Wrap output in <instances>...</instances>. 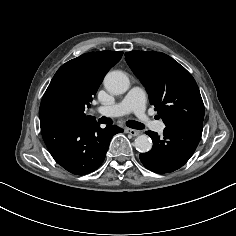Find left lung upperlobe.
I'll use <instances>...</instances> for the list:
<instances>
[{
	"mask_svg": "<svg viewBox=\"0 0 236 236\" xmlns=\"http://www.w3.org/2000/svg\"><path fill=\"white\" fill-rule=\"evenodd\" d=\"M125 60L146 88L166 126L203 124L204 104L192 75L170 56L156 51H131Z\"/></svg>",
	"mask_w": 236,
	"mask_h": 236,
	"instance_id": "5c2ea615",
	"label": "left lung upper lobe"
}]
</instances>
